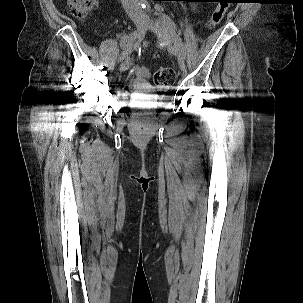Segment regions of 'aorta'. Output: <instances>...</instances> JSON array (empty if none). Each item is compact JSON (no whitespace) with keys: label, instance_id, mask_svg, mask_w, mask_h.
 <instances>
[{"label":"aorta","instance_id":"aorta-1","mask_svg":"<svg viewBox=\"0 0 303 303\" xmlns=\"http://www.w3.org/2000/svg\"><path fill=\"white\" fill-rule=\"evenodd\" d=\"M141 5H146L148 3L147 0H138Z\"/></svg>","mask_w":303,"mask_h":303}]
</instances>
